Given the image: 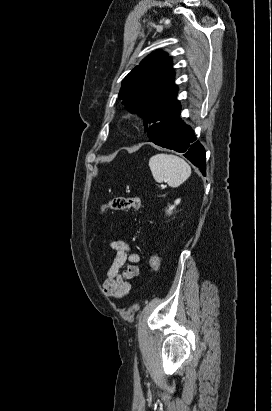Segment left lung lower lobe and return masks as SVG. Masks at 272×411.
I'll return each instance as SVG.
<instances>
[{
  "label": "left lung lower lobe",
  "instance_id": "obj_1",
  "mask_svg": "<svg viewBox=\"0 0 272 411\" xmlns=\"http://www.w3.org/2000/svg\"><path fill=\"white\" fill-rule=\"evenodd\" d=\"M154 144L184 153V156L206 175L205 149L196 141L190 126L180 118V111L149 138Z\"/></svg>",
  "mask_w": 272,
  "mask_h": 411
}]
</instances>
